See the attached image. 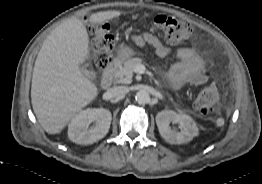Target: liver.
I'll return each instance as SVG.
<instances>
[{"label":"liver","mask_w":262,"mask_h":184,"mask_svg":"<svg viewBox=\"0 0 262 184\" xmlns=\"http://www.w3.org/2000/svg\"><path fill=\"white\" fill-rule=\"evenodd\" d=\"M121 13L97 12L91 14L88 21L101 24ZM88 57L89 36L77 18L57 26L44 41L33 69L31 102L38 122L47 133L59 134L97 97V86L81 72L80 65Z\"/></svg>","instance_id":"liver-1"}]
</instances>
